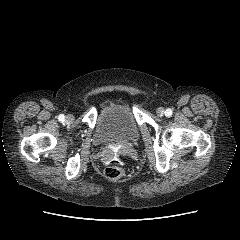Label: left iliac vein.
I'll return each instance as SVG.
<instances>
[{
  "mask_svg": "<svg viewBox=\"0 0 240 240\" xmlns=\"http://www.w3.org/2000/svg\"><path fill=\"white\" fill-rule=\"evenodd\" d=\"M156 113H157L158 116L162 117V116H164V114H165V110H164V108L159 107V108L156 110Z\"/></svg>",
  "mask_w": 240,
  "mask_h": 240,
  "instance_id": "1",
  "label": "left iliac vein"
}]
</instances>
